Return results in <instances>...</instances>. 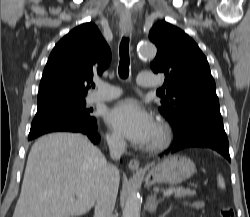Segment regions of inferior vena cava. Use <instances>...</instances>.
<instances>
[{
    "label": "inferior vena cava",
    "mask_w": 250,
    "mask_h": 217,
    "mask_svg": "<svg viewBox=\"0 0 250 217\" xmlns=\"http://www.w3.org/2000/svg\"><path fill=\"white\" fill-rule=\"evenodd\" d=\"M110 156L119 159L125 151L126 142L120 135L107 137ZM119 170L114 165H106L102 170L101 183L96 198L94 217H113L119 186Z\"/></svg>",
    "instance_id": "602c4592"
}]
</instances>
